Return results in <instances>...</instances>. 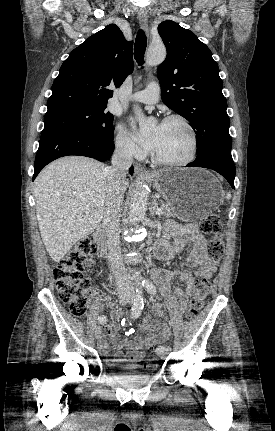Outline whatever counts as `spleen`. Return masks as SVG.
<instances>
[{
  "mask_svg": "<svg viewBox=\"0 0 275 431\" xmlns=\"http://www.w3.org/2000/svg\"><path fill=\"white\" fill-rule=\"evenodd\" d=\"M231 198V194L230 193H227V195H226V199L227 200H229Z\"/></svg>",
  "mask_w": 275,
  "mask_h": 431,
  "instance_id": "spleen-1",
  "label": "spleen"
}]
</instances>
